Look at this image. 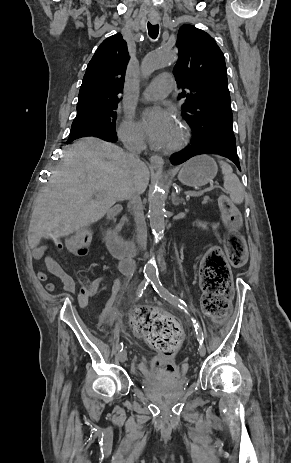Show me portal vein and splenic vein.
Masks as SVG:
<instances>
[{
  "instance_id": "1",
  "label": "portal vein and splenic vein",
  "mask_w": 291,
  "mask_h": 463,
  "mask_svg": "<svg viewBox=\"0 0 291 463\" xmlns=\"http://www.w3.org/2000/svg\"><path fill=\"white\" fill-rule=\"evenodd\" d=\"M185 194H186L187 197H190V196L191 197H197V196H201L203 194V191H198V192H196V191H187V192H185Z\"/></svg>"
}]
</instances>
